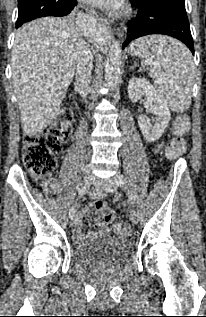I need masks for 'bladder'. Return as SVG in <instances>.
Masks as SVG:
<instances>
[{
  "mask_svg": "<svg viewBox=\"0 0 206 317\" xmlns=\"http://www.w3.org/2000/svg\"><path fill=\"white\" fill-rule=\"evenodd\" d=\"M132 244L118 236H104L77 244L73 258L84 267H116L132 256Z\"/></svg>",
  "mask_w": 206,
  "mask_h": 317,
  "instance_id": "31cf9c89",
  "label": "bladder"
}]
</instances>
